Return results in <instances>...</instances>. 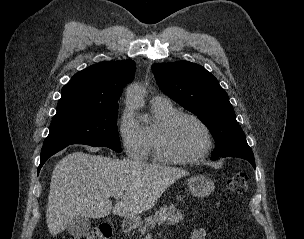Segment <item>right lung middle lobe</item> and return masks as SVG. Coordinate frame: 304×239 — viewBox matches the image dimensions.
Listing matches in <instances>:
<instances>
[{"mask_svg": "<svg viewBox=\"0 0 304 239\" xmlns=\"http://www.w3.org/2000/svg\"><path fill=\"white\" fill-rule=\"evenodd\" d=\"M117 113L118 105L57 112L43 148L86 144L105 146L121 152L116 125Z\"/></svg>", "mask_w": 304, "mask_h": 239, "instance_id": "dd1d6c3e", "label": "right lung middle lobe"}]
</instances>
